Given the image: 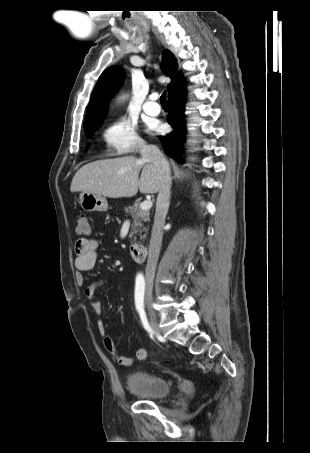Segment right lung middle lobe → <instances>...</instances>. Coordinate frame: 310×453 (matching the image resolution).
I'll list each match as a JSON object with an SVG mask.
<instances>
[{"label":"right lung middle lobe","instance_id":"1","mask_svg":"<svg viewBox=\"0 0 310 453\" xmlns=\"http://www.w3.org/2000/svg\"><path fill=\"white\" fill-rule=\"evenodd\" d=\"M99 125H100V124H99ZM99 125L91 126V127L85 128V134H86V136H91V135L93 134L94 130H95L96 128L99 127Z\"/></svg>","mask_w":310,"mask_h":453}]
</instances>
